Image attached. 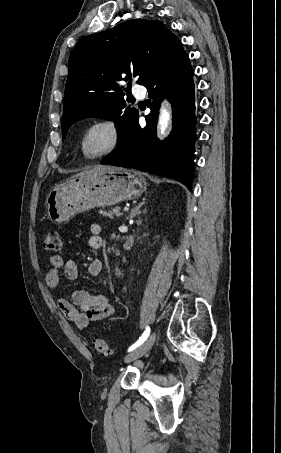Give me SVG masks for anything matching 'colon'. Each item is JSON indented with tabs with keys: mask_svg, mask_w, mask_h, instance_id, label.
<instances>
[{
	"mask_svg": "<svg viewBox=\"0 0 281 453\" xmlns=\"http://www.w3.org/2000/svg\"><path fill=\"white\" fill-rule=\"evenodd\" d=\"M43 249L45 252H59L61 250V231L50 230L47 234L46 239L43 243ZM93 347L100 355L109 354L108 343L103 339L94 340Z\"/></svg>",
	"mask_w": 281,
	"mask_h": 453,
	"instance_id": "obj_1",
	"label": "colon"
}]
</instances>
